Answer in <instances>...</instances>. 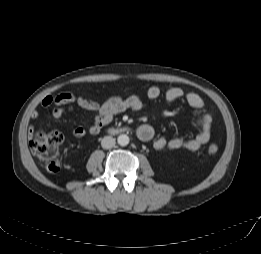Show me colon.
Returning a JSON list of instances; mask_svg holds the SVG:
<instances>
[{
  "label": "colon",
  "instance_id": "obj_1",
  "mask_svg": "<svg viewBox=\"0 0 261 254\" xmlns=\"http://www.w3.org/2000/svg\"><path fill=\"white\" fill-rule=\"evenodd\" d=\"M63 141L64 136L60 132H37L30 140V148L47 170L56 172L61 168L60 147ZM207 151L209 155L213 156L218 152V146L212 143Z\"/></svg>",
  "mask_w": 261,
  "mask_h": 254
}]
</instances>
